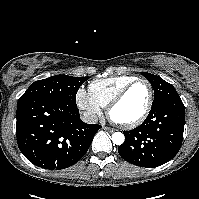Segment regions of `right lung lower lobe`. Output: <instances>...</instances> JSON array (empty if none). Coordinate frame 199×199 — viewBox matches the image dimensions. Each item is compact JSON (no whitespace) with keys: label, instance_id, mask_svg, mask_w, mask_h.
Here are the masks:
<instances>
[{"label":"right lung lower lobe","instance_id":"1","mask_svg":"<svg viewBox=\"0 0 199 199\" xmlns=\"http://www.w3.org/2000/svg\"><path fill=\"white\" fill-rule=\"evenodd\" d=\"M16 118L23 155L36 166L51 170L78 162L101 128L82 122L76 106L43 97L18 102Z\"/></svg>","mask_w":199,"mask_h":199}]
</instances>
